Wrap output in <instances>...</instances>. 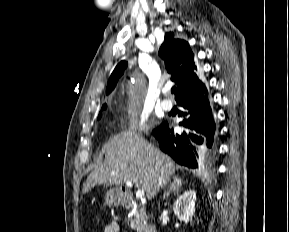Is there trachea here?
Instances as JSON below:
<instances>
[{
  "label": "trachea",
  "instance_id": "trachea-1",
  "mask_svg": "<svg viewBox=\"0 0 289 232\" xmlns=\"http://www.w3.org/2000/svg\"><path fill=\"white\" fill-rule=\"evenodd\" d=\"M175 92V87H173L172 89H171V93H174Z\"/></svg>",
  "mask_w": 289,
  "mask_h": 232
}]
</instances>
